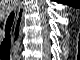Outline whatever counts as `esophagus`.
Here are the masks:
<instances>
[{"label": "esophagus", "mask_w": 80, "mask_h": 60, "mask_svg": "<svg viewBox=\"0 0 80 60\" xmlns=\"http://www.w3.org/2000/svg\"><path fill=\"white\" fill-rule=\"evenodd\" d=\"M25 6L23 1L19 3L17 17L15 20L14 30L12 34V53L16 56V51L19 48L22 36L23 20H24Z\"/></svg>", "instance_id": "obj_1"}]
</instances>
